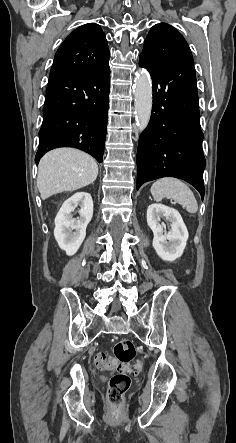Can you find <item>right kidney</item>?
Returning <instances> with one entry per match:
<instances>
[{"instance_id":"1","label":"right kidney","mask_w":236,"mask_h":443,"mask_svg":"<svg viewBox=\"0 0 236 443\" xmlns=\"http://www.w3.org/2000/svg\"><path fill=\"white\" fill-rule=\"evenodd\" d=\"M79 217L73 212L78 208ZM93 216L92 197L87 192H78L68 198L55 218L54 237L67 255L77 252L86 236V227Z\"/></svg>"}]
</instances>
